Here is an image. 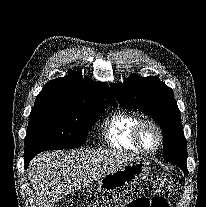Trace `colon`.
Wrapping results in <instances>:
<instances>
[{"mask_svg": "<svg viewBox=\"0 0 206 207\" xmlns=\"http://www.w3.org/2000/svg\"><path fill=\"white\" fill-rule=\"evenodd\" d=\"M155 195L133 198L128 192H118L102 199L91 207H170L169 198L173 196L175 186L169 173L161 172L154 181Z\"/></svg>", "mask_w": 206, "mask_h": 207, "instance_id": "1", "label": "colon"}]
</instances>
